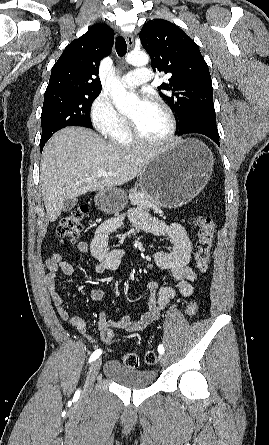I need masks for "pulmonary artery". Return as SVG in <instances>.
<instances>
[{
	"mask_svg": "<svg viewBox=\"0 0 269 445\" xmlns=\"http://www.w3.org/2000/svg\"><path fill=\"white\" fill-rule=\"evenodd\" d=\"M152 78L153 73L150 69L140 67L123 75L121 83L127 88H134L150 81Z\"/></svg>",
	"mask_w": 269,
	"mask_h": 445,
	"instance_id": "pulmonary-artery-1",
	"label": "pulmonary artery"
}]
</instances>
